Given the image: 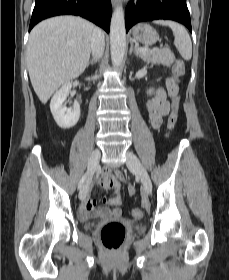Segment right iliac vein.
<instances>
[{
	"label": "right iliac vein",
	"mask_w": 229,
	"mask_h": 280,
	"mask_svg": "<svg viewBox=\"0 0 229 280\" xmlns=\"http://www.w3.org/2000/svg\"><path fill=\"white\" fill-rule=\"evenodd\" d=\"M100 155H101L100 151L98 149H95L90 156V159L88 162V169H87L88 175H87V178H86V181H85L83 187L81 188V190L79 192L80 199H82L83 194L87 191V189L90 186L92 174L94 173V171L97 168V165H98L99 159H100Z\"/></svg>",
	"instance_id": "right-iliac-vein-1"
}]
</instances>
